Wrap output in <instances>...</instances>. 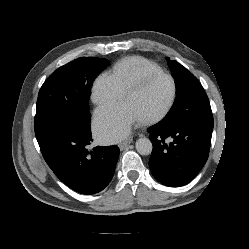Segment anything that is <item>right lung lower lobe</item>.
<instances>
[{"label":"right lung lower lobe","mask_w":249,"mask_h":249,"mask_svg":"<svg viewBox=\"0 0 249 249\" xmlns=\"http://www.w3.org/2000/svg\"><path fill=\"white\" fill-rule=\"evenodd\" d=\"M91 125L53 130L37 138L42 155L54 174L82 193L102 191L111 181L120 150L117 146H87L93 141Z\"/></svg>","instance_id":"obj_1"}]
</instances>
